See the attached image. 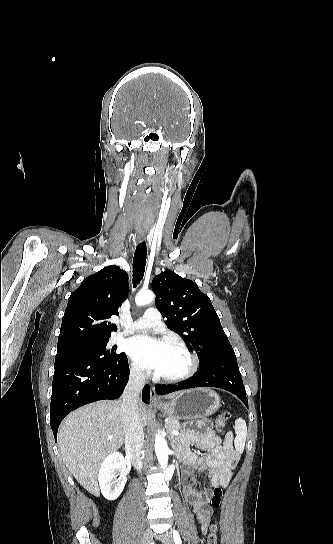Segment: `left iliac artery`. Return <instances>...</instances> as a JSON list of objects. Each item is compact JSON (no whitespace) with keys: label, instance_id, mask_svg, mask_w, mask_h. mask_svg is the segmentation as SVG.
<instances>
[{"label":"left iliac artery","instance_id":"obj_1","mask_svg":"<svg viewBox=\"0 0 333 544\" xmlns=\"http://www.w3.org/2000/svg\"><path fill=\"white\" fill-rule=\"evenodd\" d=\"M173 538H174L175 544H182L178 531L176 530L173 531Z\"/></svg>","mask_w":333,"mask_h":544}]
</instances>
